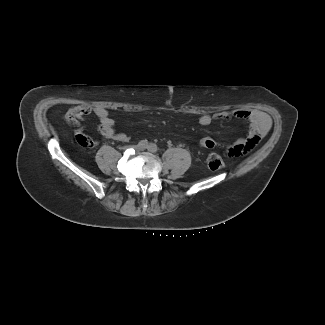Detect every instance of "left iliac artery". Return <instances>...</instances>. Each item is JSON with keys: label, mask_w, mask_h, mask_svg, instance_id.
<instances>
[{"label": "left iliac artery", "mask_w": 325, "mask_h": 325, "mask_svg": "<svg viewBox=\"0 0 325 325\" xmlns=\"http://www.w3.org/2000/svg\"><path fill=\"white\" fill-rule=\"evenodd\" d=\"M148 150L150 151V152H157V150H158V148H157V145L156 144H154V143H150L149 145H148Z\"/></svg>", "instance_id": "left-iliac-artery-1"}]
</instances>
